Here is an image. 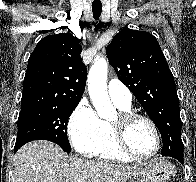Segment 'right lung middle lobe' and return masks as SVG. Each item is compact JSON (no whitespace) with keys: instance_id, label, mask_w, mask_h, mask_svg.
<instances>
[{"instance_id":"right-lung-middle-lobe-1","label":"right lung middle lobe","mask_w":196,"mask_h":182,"mask_svg":"<svg viewBox=\"0 0 196 182\" xmlns=\"http://www.w3.org/2000/svg\"><path fill=\"white\" fill-rule=\"evenodd\" d=\"M78 103H47L21 107L14 151L32 140L52 141L71 151L67 122Z\"/></svg>"}]
</instances>
